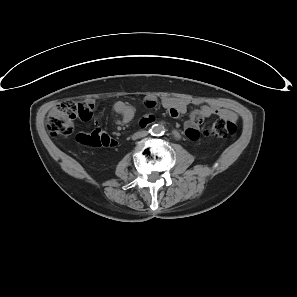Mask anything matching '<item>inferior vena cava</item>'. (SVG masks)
<instances>
[{
    "label": "inferior vena cava",
    "mask_w": 297,
    "mask_h": 297,
    "mask_svg": "<svg viewBox=\"0 0 297 297\" xmlns=\"http://www.w3.org/2000/svg\"><path fill=\"white\" fill-rule=\"evenodd\" d=\"M147 135L146 131H139V132H136L134 134V137L135 138H142V137H145Z\"/></svg>",
    "instance_id": "1"
}]
</instances>
